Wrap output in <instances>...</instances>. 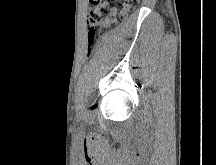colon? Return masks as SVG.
Segmentation results:
<instances>
[{"mask_svg": "<svg viewBox=\"0 0 216 165\" xmlns=\"http://www.w3.org/2000/svg\"><path fill=\"white\" fill-rule=\"evenodd\" d=\"M94 6L89 17L88 41L92 45L99 32L112 24L121 22L134 9L139 0H90Z\"/></svg>", "mask_w": 216, "mask_h": 165, "instance_id": "5ec220e1", "label": "colon"}]
</instances>
